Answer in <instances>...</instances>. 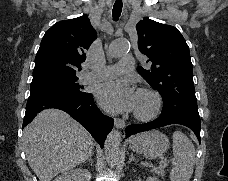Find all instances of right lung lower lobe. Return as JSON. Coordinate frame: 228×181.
I'll list each match as a JSON object with an SVG mask.
<instances>
[{"instance_id":"obj_1","label":"right lung lower lobe","mask_w":228,"mask_h":181,"mask_svg":"<svg viewBox=\"0 0 228 181\" xmlns=\"http://www.w3.org/2000/svg\"><path fill=\"white\" fill-rule=\"evenodd\" d=\"M56 108L70 114L75 120L82 124L94 137V139L104 147L105 139L112 130L114 120L101 113L94 104L92 94L89 93L84 98H72L64 94L54 92H44L30 94L26 105L23 127L26 126L38 112Z\"/></svg>"}]
</instances>
